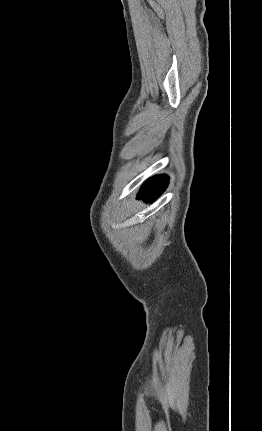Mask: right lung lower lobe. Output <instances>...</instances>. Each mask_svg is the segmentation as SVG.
<instances>
[{
  "label": "right lung lower lobe",
  "instance_id": "right-lung-lower-lobe-1",
  "mask_svg": "<svg viewBox=\"0 0 262 431\" xmlns=\"http://www.w3.org/2000/svg\"><path fill=\"white\" fill-rule=\"evenodd\" d=\"M166 176H155L149 179L141 188L139 197L146 203L155 200L167 187Z\"/></svg>",
  "mask_w": 262,
  "mask_h": 431
}]
</instances>
